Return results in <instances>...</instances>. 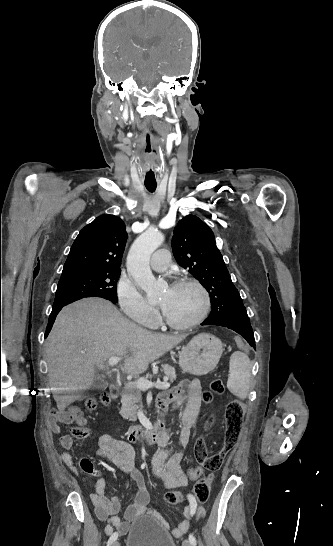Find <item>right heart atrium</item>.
Masks as SVG:
<instances>
[{
    "label": "right heart atrium",
    "instance_id": "obj_1",
    "mask_svg": "<svg viewBox=\"0 0 333 546\" xmlns=\"http://www.w3.org/2000/svg\"><path fill=\"white\" fill-rule=\"evenodd\" d=\"M119 305L124 314L141 325L155 324L157 313L138 289L126 278H121L116 288Z\"/></svg>",
    "mask_w": 333,
    "mask_h": 546
}]
</instances>
